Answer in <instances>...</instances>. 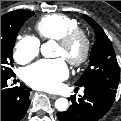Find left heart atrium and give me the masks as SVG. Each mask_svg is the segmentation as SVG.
<instances>
[{
    "label": "left heart atrium",
    "mask_w": 121,
    "mask_h": 121,
    "mask_svg": "<svg viewBox=\"0 0 121 121\" xmlns=\"http://www.w3.org/2000/svg\"><path fill=\"white\" fill-rule=\"evenodd\" d=\"M68 68L63 58L40 60L23 71V79L32 87L54 91L68 76Z\"/></svg>",
    "instance_id": "1"
}]
</instances>
